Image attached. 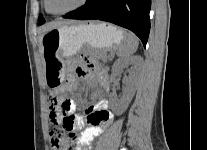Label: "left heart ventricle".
<instances>
[{"label":"left heart ventricle","mask_w":207,"mask_h":150,"mask_svg":"<svg viewBox=\"0 0 207 150\" xmlns=\"http://www.w3.org/2000/svg\"><path fill=\"white\" fill-rule=\"evenodd\" d=\"M81 0H48L49 8L54 12H62L77 5Z\"/></svg>","instance_id":"obj_1"}]
</instances>
